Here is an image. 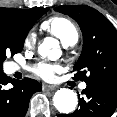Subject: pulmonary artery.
Wrapping results in <instances>:
<instances>
[{
    "label": "pulmonary artery",
    "mask_w": 117,
    "mask_h": 117,
    "mask_svg": "<svg viewBox=\"0 0 117 117\" xmlns=\"http://www.w3.org/2000/svg\"><path fill=\"white\" fill-rule=\"evenodd\" d=\"M69 46H72V45H69ZM11 68H12L13 71H17V70L19 69L18 66L15 65V64H13ZM86 86H87V84H86L85 82H82V83L80 84V88H81V89H85Z\"/></svg>",
    "instance_id": "e3ab8cb5"
}]
</instances>
